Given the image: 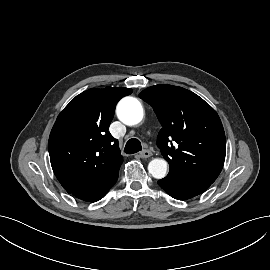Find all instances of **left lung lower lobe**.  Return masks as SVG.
I'll use <instances>...</instances> for the list:
<instances>
[{
  "instance_id": "1",
  "label": "left lung lower lobe",
  "mask_w": 270,
  "mask_h": 270,
  "mask_svg": "<svg viewBox=\"0 0 270 270\" xmlns=\"http://www.w3.org/2000/svg\"><path fill=\"white\" fill-rule=\"evenodd\" d=\"M212 183L200 176H166L158 181L164 191L178 200L195 197L204 192Z\"/></svg>"
}]
</instances>
